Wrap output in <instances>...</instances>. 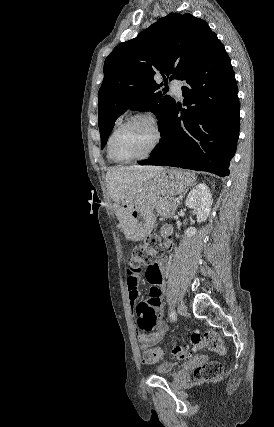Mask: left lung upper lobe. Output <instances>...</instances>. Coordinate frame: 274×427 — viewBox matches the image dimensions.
<instances>
[{"instance_id":"left-lung-upper-lobe-1","label":"left lung upper lobe","mask_w":274,"mask_h":427,"mask_svg":"<svg viewBox=\"0 0 274 427\" xmlns=\"http://www.w3.org/2000/svg\"><path fill=\"white\" fill-rule=\"evenodd\" d=\"M216 34L207 22L189 13H170L120 43L104 63V79L98 92V125L101 147L106 145L116 119L126 110L151 111L162 133L166 113L174 99L158 91L155 75L180 79ZM166 88H168L166 86Z\"/></svg>"}]
</instances>
